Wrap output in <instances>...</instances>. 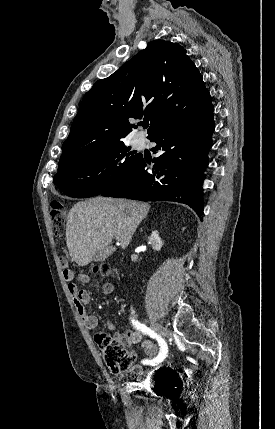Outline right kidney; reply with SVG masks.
Here are the masks:
<instances>
[{
	"label": "right kidney",
	"mask_w": 275,
	"mask_h": 429,
	"mask_svg": "<svg viewBox=\"0 0 275 429\" xmlns=\"http://www.w3.org/2000/svg\"><path fill=\"white\" fill-rule=\"evenodd\" d=\"M149 244H151L155 251H159L161 249L163 243L158 234V231L152 232L151 236L149 237Z\"/></svg>",
	"instance_id": "1"
}]
</instances>
